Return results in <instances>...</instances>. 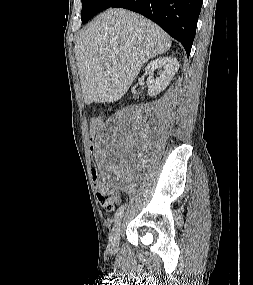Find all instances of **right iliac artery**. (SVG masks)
<instances>
[{
	"instance_id": "obj_1",
	"label": "right iliac artery",
	"mask_w": 253,
	"mask_h": 285,
	"mask_svg": "<svg viewBox=\"0 0 253 285\" xmlns=\"http://www.w3.org/2000/svg\"><path fill=\"white\" fill-rule=\"evenodd\" d=\"M125 209V205H121L119 207V209L116 211L115 215H114V223H118L122 214H123V211Z\"/></svg>"
}]
</instances>
